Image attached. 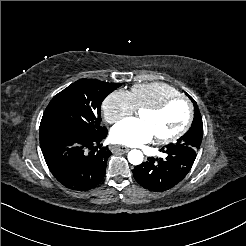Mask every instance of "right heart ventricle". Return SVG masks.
<instances>
[{"label": "right heart ventricle", "instance_id": "1", "mask_svg": "<svg viewBox=\"0 0 246 246\" xmlns=\"http://www.w3.org/2000/svg\"><path fill=\"white\" fill-rule=\"evenodd\" d=\"M130 94L135 109L140 111L146 107L159 104L169 97L177 95L178 91L168 84L153 82L134 85L131 88Z\"/></svg>", "mask_w": 246, "mask_h": 246}]
</instances>
